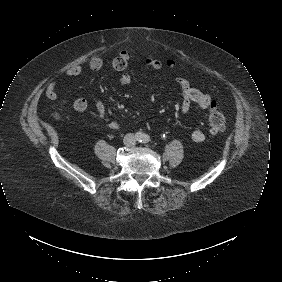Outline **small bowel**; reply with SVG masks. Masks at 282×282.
Returning a JSON list of instances; mask_svg holds the SVG:
<instances>
[{"instance_id": "obj_1", "label": "small bowel", "mask_w": 282, "mask_h": 282, "mask_svg": "<svg viewBox=\"0 0 282 282\" xmlns=\"http://www.w3.org/2000/svg\"><path fill=\"white\" fill-rule=\"evenodd\" d=\"M130 53L126 50H123L119 55L113 60L112 66L115 70L122 72L121 76L118 79V83L122 86H126L131 83L132 77L126 72L128 63L130 61ZM147 66L153 70H160L162 68V63L156 58H147L145 60ZM104 62L99 57H94L89 63V68L91 71H99L102 69ZM83 72V67L81 65H76L65 71L64 75L67 77H75L80 75ZM178 85L182 92V102L180 110L182 113H187L193 104L197 105L201 109H207L211 104V98L208 94L201 92L200 90L193 87L188 80L185 78H178ZM57 80H52L48 83L46 87V96L50 100H55L57 98ZM74 110L82 112L85 111L90 105H93L97 119L99 121H104L107 116V107L105 103L97 98L93 97L90 100L86 98L75 99L71 103ZM107 127L110 129L118 130L121 128L118 122L112 121L107 123ZM191 139L196 143H203L206 141V134L201 130H194L191 133Z\"/></svg>"}]
</instances>
